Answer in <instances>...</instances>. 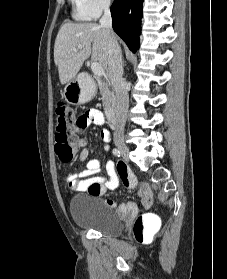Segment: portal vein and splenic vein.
<instances>
[{
    "instance_id": "18ae733b",
    "label": "portal vein and splenic vein",
    "mask_w": 227,
    "mask_h": 279,
    "mask_svg": "<svg viewBox=\"0 0 227 279\" xmlns=\"http://www.w3.org/2000/svg\"><path fill=\"white\" fill-rule=\"evenodd\" d=\"M84 48L83 45H78L77 46V49H82ZM76 50V48H75ZM91 69L93 71V73L98 76V77H101L104 75L105 71H104V68L102 67V65L98 62H92L91 63Z\"/></svg>"
}]
</instances>
